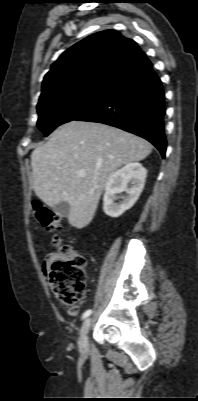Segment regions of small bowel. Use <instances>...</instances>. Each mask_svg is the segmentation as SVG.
I'll use <instances>...</instances> for the list:
<instances>
[{
    "mask_svg": "<svg viewBox=\"0 0 198 401\" xmlns=\"http://www.w3.org/2000/svg\"><path fill=\"white\" fill-rule=\"evenodd\" d=\"M60 258H62V256H60L57 253L46 255L42 262L43 274L48 275L51 271V267H52L53 263Z\"/></svg>",
    "mask_w": 198,
    "mask_h": 401,
    "instance_id": "obj_1",
    "label": "small bowel"
}]
</instances>
